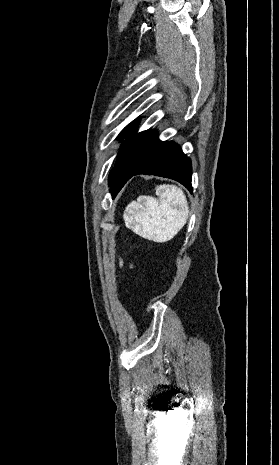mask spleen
<instances>
[{"label": "spleen", "instance_id": "1", "mask_svg": "<svg viewBox=\"0 0 279 465\" xmlns=\"http://www.w3.org/2000/svg\"><path fill=\"white\" fill-rule=\"evenodd\" d=\"M159 200L140 196L125 209L127 228L143 238L159 243L171 240L186 224L189 206L182 189L175 185L156 187Z\"/></svg>", "mask_w": 279, "mask_h": 465}]
</instances>
